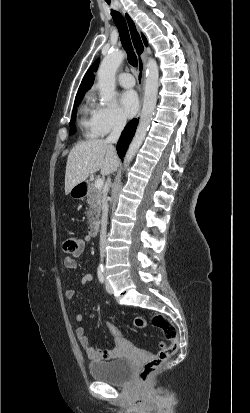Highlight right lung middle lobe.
Here are the masks:
<instances>
[{"mask_svg": "<svg viewBox=\"0 0 250 413\" xmlns=\"http://www.w3.org/2000/svg\"><path fill=\"white\" fill-rule=\"evenodd\" d=\"M82 97L83 96H78V97L75 98V104H74V108H73V112H72V118H71V121H70V133H69L70 135H72L76 130L75 125H74L75 118H76V107H77L78 103L81 102Z\"/></svg>", "mask_w": 250, "mask_h": 413, "instance_id": "dd1d6c3e", "label": "right lung middle lobe"}]
</instances>
